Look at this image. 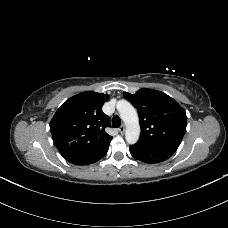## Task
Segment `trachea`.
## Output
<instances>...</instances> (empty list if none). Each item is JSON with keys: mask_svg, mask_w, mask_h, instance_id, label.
<instances>
[{"mask_svg": "<svg viewBox=\"0 0 228 228\" xmlns=\"http://www.w3.org/2000/svg\"><path fill=\"white\" fill-rule=\"evenodd\" d=\"M121 124V120L119 118V116L115 115L113 118H112V126L113 127H119Z\"/></svg>", "mask_w": 228, "mask_h": 228, "instance_id": "obj_1", "label": "trachea"}]
</instances>
